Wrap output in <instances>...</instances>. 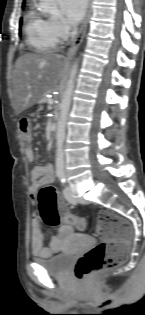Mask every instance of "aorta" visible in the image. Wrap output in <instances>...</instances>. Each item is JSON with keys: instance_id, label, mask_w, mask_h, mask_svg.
<instances>
[{"instance_id": "aorta-1", "label": "aorta", "mask_w": 145, "mask_h": 315, "mask_svg": "<svg viewBox=\"0 0 145 315\" xmlns=\"http://www.w3.org/2000/svg\"><path fill=\"white\" fill-rule=\"evenodd\" d=\"M39 8L42 12L58 14L59 9L57 0H40ZM78 72V61L76 60L71 68L69 79L66 84V89L60 103V113L57 121L56 131V173L64 174V150L63 144L66 136L67 117L71 106L72 95L75 87V79Z\"/></svg>"}]
</instances>
